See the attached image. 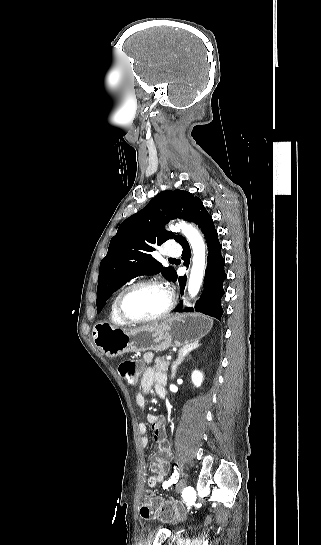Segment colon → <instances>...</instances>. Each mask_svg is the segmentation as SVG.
I'll return each mask as SVG.
<instances>
[{"label": "colon", "instance_id": "obj_1", "mask_svg": "<svg viewBox=\"0 0 321 545\" xmlns=\"http://www.w3.org/2000/svg\"><path fill=\"white\" fill-rule=\"evenodd\" d=\"M118 372L129 387L133 388L136 385V363L134 361H121L118 365ZM140 513L145 519H159L164 522H171L184 514L181 506L167 502L150 491L146 492L142 500Z\"/></svg>", "mask_w": 321, "mask_h": 545}]
</instances>
